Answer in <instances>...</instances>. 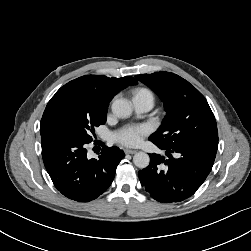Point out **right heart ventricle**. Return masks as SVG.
<instances>
[{
	"mask_svg": "<svg viewBox=\"0 0 251 251\" xmlns=\"http://www.w3.org/2000/svg\"><path fill=\"white\" fill-rule=\"evenodd\" d=\"M141 94L152 96V93L146 88H139V89L135 90V92H134V96L141 95Z\"/></svg>",
	"mask_w": 251,
	"mask_h": 251,
	"instance_id": "obj_1",
	"label": "right heart ventricle"
}]
</instances>
